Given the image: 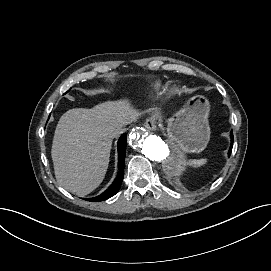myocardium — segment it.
Listing matches in <instances>:
<instances>
[{
    "instance_id": "1",
    "label": "myocardium",
    "mask_w": 271,
    "mask_h": 271,
    "mask_svg": "<svg viewBox=\"0 0 271 271\" xmlns=\"http://www.w3.org/2000/svg\"><path fill=\"white\" fill-rule=\"evenodd\" d=\"M176 90H177L176 88H173V89H172V91H174V92H175Z\"/></svg>"
}]
</instances>
